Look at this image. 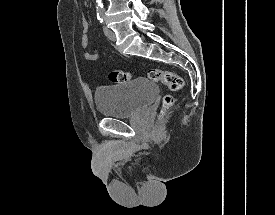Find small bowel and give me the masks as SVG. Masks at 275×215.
I'll return each mask as SVG.
<instances>
[{"mask_svg": "<svg viewBox=\"0 0 275 215\" xmlns=\"http://www.w3.org/2000/svg\"><path fill=\"white\" fill-rule=\"evenodd\" d=\"M81 25H82V33H81L80 41L83 49V56L86 60H91V61L97 60L100 56V49L97 48L91 51L88 50L89 39H88L87 31H88L89 23L87 18L84 15L82 16Z\"/></svg>", "mask_w": 275, "mask_h": 215, "instance_id": "obj_1", "label": "small bowel"}]
</instances>
